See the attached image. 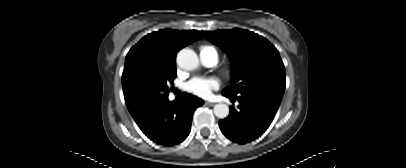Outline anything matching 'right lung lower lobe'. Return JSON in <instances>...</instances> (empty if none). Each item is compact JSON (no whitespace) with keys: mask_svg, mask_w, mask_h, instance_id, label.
<instances>
[{"mask_svg":"<svg viewBox=\"0 0 406 168\" xmlns=\"http://www.w3.org/2000/svg\"><path fill=\"white\" fill-rule=\"evenodd\" d=\"M204 101L184 93L180 102L168 97L153 105L131 112L142 132L154 142L172 146L186 139L190 133L193 113Z\"/></svg>","mask_w":406,"mask_h":168,"instance_id":"1","label":"right lung lower lobe"}]
</instances>
